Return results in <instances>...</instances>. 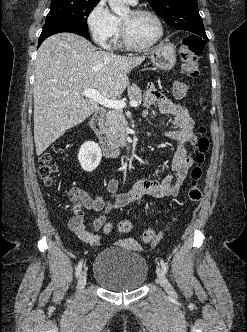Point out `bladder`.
<instances>
[{
  "mask_svg": "<svg viewBox=\"0 0 247 332\" xmlns=\"http://www.w3.org/2000/svg\"><path fill=\"white\" fill-rule=\"evenodd\" d=\"M148 266L130 246L113 245L100 251L93 266L94 280L114 292L134 291L147 279Z\"/></svg>",
  "mask_w": 247,
  "mask_h": 332,
  "instance_id": "1",
  "label": "bladder"
}]
</instances>
